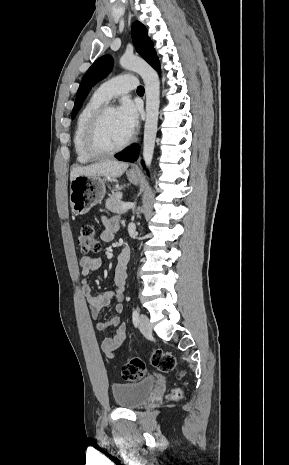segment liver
<instances>
[{
  "instance_id": "obj_1",
  "label": "liver",
  "mask_w": 289,
  "mask_h": 465,
  "mask_svg": "<svg viewBox=\"0 0 289 465\" xmlns=\"http://www.w3.org/2000/svg\"><path fill=\"white\" fill-rule=\"evenodd\" d=\"M128 163L108 160L88 166H77L71 170L70 180L77 176H104L107 178L120 177L128 168Z\"/></svg>"
}]
</instances>
